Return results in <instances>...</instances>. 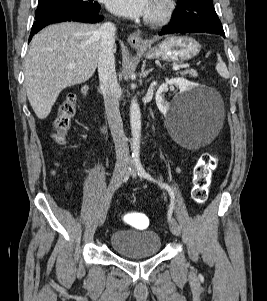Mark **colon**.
<instances>
[{
    "label": "colon",
    "mask_w": 267,
    "mask_h": 301,
    "mask_svg": "<svg viewBox=\"0 0 267 301\" xmlns=\"http://www.w3.org/2000/svg\"><path fill=\"white\" fill-rule=\"evenodd\" d=\"M74 114L75 97L68 95L59 106L53 124L52 137L57 144L62 145L64 143ZM217 165V157L210 153L204 154L195 165L192 180V198L196 203L203 204L207 201L211 177ZM123 218L136 228H145L149 222L146 215L138 212L125 213Z\"/></svg>",
    "instance_id": "1"
}]
</instances>
